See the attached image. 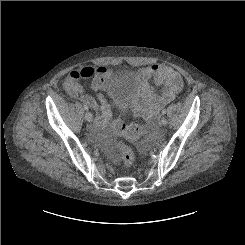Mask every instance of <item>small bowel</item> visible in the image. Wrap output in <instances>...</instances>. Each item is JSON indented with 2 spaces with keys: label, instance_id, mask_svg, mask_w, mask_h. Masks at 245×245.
<instances>
[{
  "label": "small bowel",
  "instance_id": "obj_1",
  "mask_svg": "<svg viewBox=\"0 0 245 245\" xmlns=\"http://www.w3.org/2000/svg\"><path fill=\"white\" fill-rule=\"evenodd\" d=\"M111 75L112 71L104 66L84 67L72 70L65 81V89L71 97L79 98L85 105L95 107L96 100L84 94L80 84V80L92 78V89L97 93V99L101 103L100 113L95 121L97 128L106 127L112 117L111 107L104 99ZM135 77L138 83V91L144 100L145 109L151 106L157 109L162 108L173 101L183 88L179 73L165 64L154 63L140 68L136 71ZM155 87L160 88V90Z\"/></svg>",
  "mask_w": 245,
  "mask_h": 245
}]
</instances>
